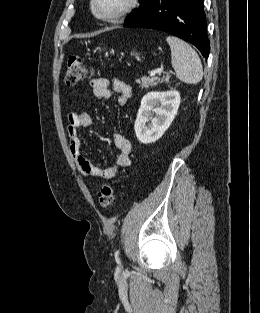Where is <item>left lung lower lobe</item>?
<instances>
[{
  "instance_id": "obj_1",
  "label": "left lung lower lobe",
  "mask_w": 260,
  "mask_h": 313,
  "mask_svg": "<svg viewBox=\"0 0 260 313\" xmlns=\"http://www.w3.org/2000/svg\"><path fill=\"white\" fill-rule=\"evenodd\" d=\"M123 26L168 32L195 45L203 57L209 55L203 0H150Z\"/></svg>"
}]
</instances>
